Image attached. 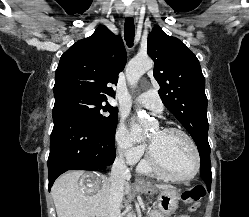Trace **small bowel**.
<instances>
[{"instance_id":"small-bowel-1","label":"small bowel","mask_w":249,"mask_h":217,"mask_svg":"<svg viewBox=\"0 0 249 217\" xmlns=\"http://www.w3.org/2000/svg\"><path fill=\"white\" fill-rule=\"evenodd\" d=\"M179 217H188V216H184V215H183V216H179Z\"/></svg>"}]
</instances>
